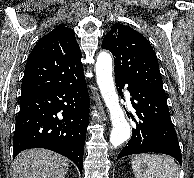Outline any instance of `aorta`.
<instances>
[{"mask_svg": "<svg viewBox=\"0 0 194 178\" xmlns=\"http://www.w3.org/2000/svg\"><path fill=\"white\" fill-rule=\"evenodd\" d=\"M96 77L101 95L109 109L112 122L110 142L113 147H118L129 139L131 128L119 104L112 77V57L107 52H100L96 61Z\"/></svg>", "mask_w": 194, "mask_h": 178, "instance_id": "762f6f07", "label": "aorta"}]
</instances>
